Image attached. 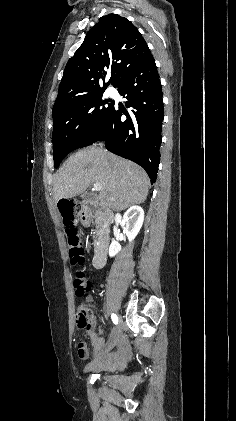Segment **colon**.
Masks as SVG:
<instances>
[{"instance_id": "1", "label": "colon", "mask_w": 236, "mask_h": 421, "mask_svg": "<svg viewBox=\"0 0 236 421\" xmlns=\"http://www.w3.org/2000/svg\"><path fill=\"white\" fill-rule=\"evenodd\" d=\"M64 225L68 237L69 256L73 264H83L85 260L84 248L82 246L81 231L76 225L75 217L71 205L65 204L63 206ZM74 288L77 296L81 297L87 293L91 288V281L86 273L82 270H77L74 273ZM92 312L88 306L81 305L77 311L76 319L80 329L87 328L92 322ZM88 350L83 342L78 344V355L83 357Z\"/></svg>"}]
</instances>
